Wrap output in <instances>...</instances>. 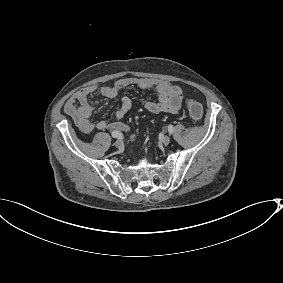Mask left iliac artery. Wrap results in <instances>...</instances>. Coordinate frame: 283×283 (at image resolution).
<instances>
[{"label":"left iliac artery","mask_w":283,"mask_h":283,"mask_svg":"<svg viewBox=\"0 0 283 283\" xmlns=\"http://www.w3.org/2000/svg\"><path fill=\"white\" fill-rule=\"evenodd\" d=\"M168 131H169L170 134L173 133V126H172V125H169V126H168Z\"/></svg>","instance_id":"left-iliac-artery-1"}]
</instances>
